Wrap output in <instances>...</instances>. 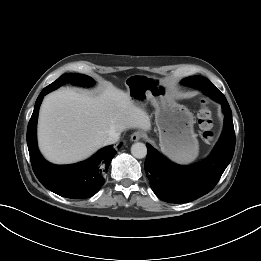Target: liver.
Masks as SVG:
<instances>
[{
	"label": "liver",
	"mask_w": 261,
	"mask_h": 261,
	"mask_svg": "<svg viewBox=\"0 0 261 261\" xmlns=\"http://www.w3.org/2000/svg\"><path fill=\"white\" fill-rule=\"evenodd\" d=\"M128 128L151 129L148 113L133 103L128 92L111 84L97 96L67 88L44 98L38 143L50 162L74 163L102 148L110 134Z\"/></svg>",
	"instance_id": "liver-1"
}]
</instances>
